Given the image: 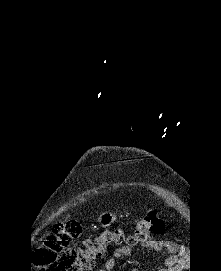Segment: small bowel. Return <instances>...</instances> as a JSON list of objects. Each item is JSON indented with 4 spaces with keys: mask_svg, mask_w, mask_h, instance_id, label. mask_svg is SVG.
Masks as SVG:
<instances>
[{
    "mask_svg": "<svg viewBox=\"0 0 221 271\" xmlns=\"http://www.w3.org/2000/svg\"><path fill=\"white\" fill-rule=\"evenodd\" d=\"M141 247L147 250L162 251L165 250L171 254V256L166 261L167 268L161 269V271H176V263L178 261V256L175 252V243L172 240L167 239H145L141 241ZM132 254V248L128 245L121 246L117 248L113 255L108 257L103 268L100 271H114L118 259L121 257H127Z\"/></svg>",
    "mask_w": 221,
    "mask_h": 271,
    "instance_id": "small-bowel-1",
    "label": "small bowel"
}]
</instances>
